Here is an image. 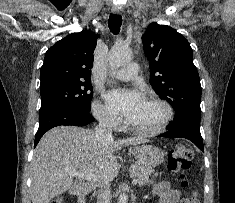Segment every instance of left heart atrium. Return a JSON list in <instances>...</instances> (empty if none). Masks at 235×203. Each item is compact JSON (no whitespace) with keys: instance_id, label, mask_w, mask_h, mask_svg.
<instances>
[{"instance_id":"1","label":"left heart atrium","mask_w":235,"mask_h":203,"mask_svg":"<svg viewBox=\"0 0 235 203\" xmlns=\"http://www.w3.org/2000/svg\"><path fill=\"white\" fill-rule=\"evenodd\" d=\"M108 107L125 117L128 121L134 118L146 99L137 89H114L105 95Z\"/></svg>"}]
</instances>
